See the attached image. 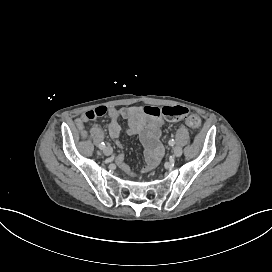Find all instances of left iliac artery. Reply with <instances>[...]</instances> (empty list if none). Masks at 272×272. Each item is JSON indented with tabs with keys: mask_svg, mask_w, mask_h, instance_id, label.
Segmentation results:
<instances>
[{
	"mask_svg": "<svg viewBox=\"0 0 272 272\" xmlns=\"http://www.w3.org/2000/svg\"><path fill=\"white\" fill-rule=\"evenodd\" d=\"M174 144H175L174 139H171V140L169 141V145L173 146Z\"/></svg>",
	"mask_w": 272,
	"mask_h": 272,
	"instance_id": "obj_1",
	"label": "left iliac artery"
}]
</instances>
